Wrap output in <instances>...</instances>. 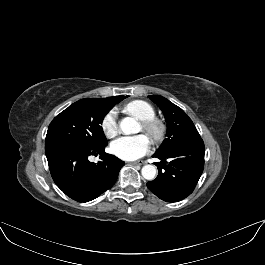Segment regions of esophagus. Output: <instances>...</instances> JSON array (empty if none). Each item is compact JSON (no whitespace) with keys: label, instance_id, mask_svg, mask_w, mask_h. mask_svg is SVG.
I'll use <instances>...</instances> for the list:
<instances>
[{"label":"esophagus","instance_id":"1","mask_svg":"<svg viewBox=\"0 0 265 265\" xmlns=\"http://www.w3.org/2000/svg\"><path fill=\"white\" fill-rule=\"evenodd\" d=\"M131 165H143L144 164V162L143 161H137V162H132V163H130Z\"/></svg>","mask_w":265,"mask_h":265}]
</instances>
